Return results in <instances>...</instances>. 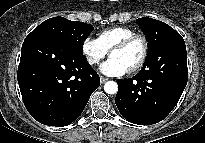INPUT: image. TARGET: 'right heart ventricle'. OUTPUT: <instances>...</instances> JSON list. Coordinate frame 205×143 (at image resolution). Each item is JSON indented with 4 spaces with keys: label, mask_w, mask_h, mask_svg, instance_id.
I'll use <instances>...</instances> for the list:
<instances>
[{
    "label": "right heart ventricle",
    "mask_w": 205,
    "mask_h": 143,
    "mask_svg": "<svg viewBox=\"0 0 205 143\" xmlns=\"http://www.w3.org/2000/svg\"><path fill=\"white\" fill-rule=\"evenodd\" d=\"M135 34L132 28L125 26H115L102 30L98 34V40L108 50L120 42L121 40Z\"/></svg>",
    "instance_id": "1"
}]
</instances>
